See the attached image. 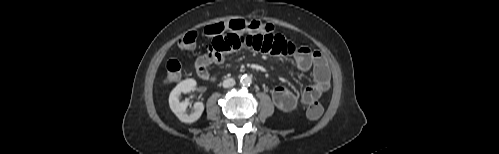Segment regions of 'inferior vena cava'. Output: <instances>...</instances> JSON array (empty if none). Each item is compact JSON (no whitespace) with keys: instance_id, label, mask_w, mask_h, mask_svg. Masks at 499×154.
I'll list each match as a JSON object with an SVG mask.
<instances>
[{"instance_id":"inferior-vena-cava-1","label":"inferior vena cava","mask_w":499,"mask_h":154,"mask_svg":"<svg viewBox=\"0 0 499 154\" xmlns=\"http://www.w3.org/2000/svg\"><path fill=\"white\" fill-rule=\"evenodd\" d=\"M235 85V80L233 78H228L223 81V87L229 88Z\"/></svg>"}]
</instances>
